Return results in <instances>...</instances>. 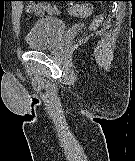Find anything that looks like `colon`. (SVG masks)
I'll list each match as a JSON object with an SVG mask.
<instances>
[{
	"instance_id": "obj_1",
	"label": "colon",
	"mask_w": 135,
	"mask_h": 161,
	"mask_svg": "<svg viewBox=\"0 0 135 161\" xmlns=\"http://www.w3.org/2000/svg\"><path fill=\"white\" fill-rule=\"evenodd\" d=\"M92 7L90 4H85V3H74L70 1L68 4L67 12L72 15V16H77V17H87L91 13ZM103 21V16L98 15L96 16L92 23L90 24L91 29H96L98 28Z\"/></svg>"
}]
</instances>
